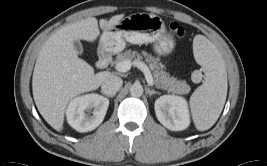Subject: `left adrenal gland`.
<instances>
[{
	"label": "left adrenal gland",
	"mask_w": 267,
	"mask_h": 166,
	"mask_svg": "<svg viewBox=\"0 0 267 166\" xmlns=\"http://www.w3.org/2000/svg\"><path fill=\"white\" fill-rule=\"evenodd\" d=\"M146 92L149 94V96H152L154 94H160L159 92L155 91V90H151L150 88H146Z\"/></svg>",
	"instance_id": "1"
}]
</instances>
